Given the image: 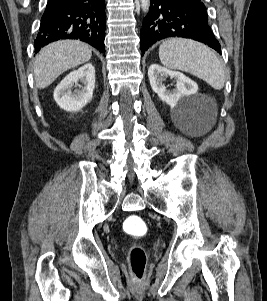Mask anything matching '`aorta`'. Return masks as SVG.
I'll return each instance as SVG.
<instances>
[{
    "mask_svg": "<svg viewBox=\"0 0 267 301\" xmlns=\"http://www.w3.org/2000/svg\"><path fill=\"white\" fill-rule=\"evenodd\" d=\"M141 8L144 12H148L150 8V0H140Z\"/></svg>",
    "mask_w": 267,
    "mask_h": 301,
    "instance_id": "1",
    "label": "aorta"
}]
</instances>
